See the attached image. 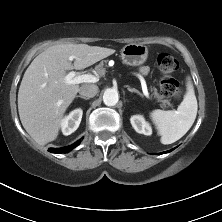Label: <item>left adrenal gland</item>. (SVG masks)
Masks as SVG:
<instances>
[{
	"instance_id": "left-adrenal-gland-1",
	"label": "left adrenal gland",
	"mask_w": 222,
	"mask_h": 222,
	"mask_svg": "<svg viewBox=\"0 0 222 222\" xmlns=\"http://www.w3.org/2000/svg\"><path fill=\"white\" fill-rule=\"evenodd\" d=\"M128 91H130V92H135V93H137L138 95H140L141 97H143V94L141 93V92H139L137 89H135V88H130L129 86H128Z\"/></svg>"
}]
</instances>
